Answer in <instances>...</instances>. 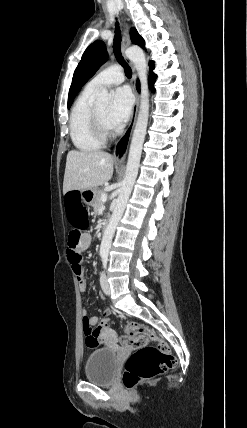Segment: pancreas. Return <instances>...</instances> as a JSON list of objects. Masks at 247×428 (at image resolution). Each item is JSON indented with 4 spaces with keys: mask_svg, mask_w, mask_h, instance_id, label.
Masks as SVG:
<instances>
[{
    "mask_svg": "<svg viewBox=\"0 0 247 428\" xmlns=\"http://www.w3.org/2000/svg\"><path fill=\"white\" fill-rule=\"evenodd\" d=\"M104 194H106V192L104 190H102V189H98L97 190L95 201L93 203V208H94L95 213H99V211H100V209H101V207L103 205L101 197Z\"/></svg>",
    "mask_w": 247,
    "mask_h": 428,
    "instance_id": "cf45deb5",
    "label": "pancreas"
}]
</instances>
